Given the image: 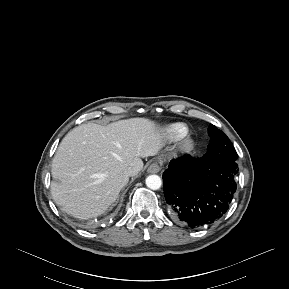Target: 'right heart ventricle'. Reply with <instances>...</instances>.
<instances>
[{"label":"right heart ventricle","mask_w":289,"mask_h":289,"mask_svg":"<svg viewBox=\"0 0 289 289\" xmlns=\"http://www.w3.org/2000/svg\"><path fill=\"white\" fill-rule=\"evenodd\" d=\"M166 135L172 140H178L188 133V127L183 123H172L165 129Z\"/></svg>","instance_id":"obj_1"}]
</instances>
